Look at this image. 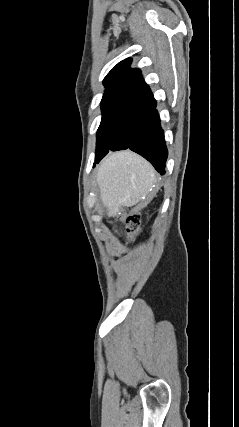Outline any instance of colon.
I'll return each mask as SVG.
<instances>
[{"label":"colon","mask_w":239,"mask_h":427,"mask_svg":"<svg viewBox=\"0 0 239 427\" xmlns=\"http://www.w3.org/2000/svg\"><path fill=\"white\" fill-rule=\"evenodd\" d=\"M141 223V216L139 214H133L129 216L124 224V229L127 233L133 235L135 234Z\"/></svg>","instance_id":"obj_1"}]
</instances>
